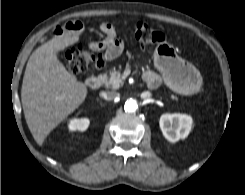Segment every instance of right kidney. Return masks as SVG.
Segmentation results:
<instances>
[{"instance_id":"right-kidney-1","label":"right kidney","mask_w":245,"mask_h":195,"mask_svg":"<svg viewBox=\"0 0 245 195\" xmlns=\"http://www.w3.org/2000/svg\"><path fill=\"white\" fill-rule=\"evenodd\" d=\"M90 124L88 118H73L68 123V128L70 131H85Z\"/></svg>"}]
</instances>
